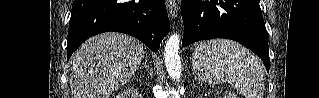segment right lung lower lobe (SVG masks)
Instances as JSON below:
<instances>
[{
  "instance_id": "1",
  "label": "right lung lower lobe",
  "mask_w": 319,
  "mask_h": 98,
  "mask_svg": "<svg viewBox=\"0 0 319 98\" xmlns=\"http://www.w3.org/2000/svg\"><path fill=\"white\" fill-rule=\"evenodd\" d=\"M169 28L164 0H74L67 57L86 39L106 31L132 35L156 52Z\"/></svg>"
}]
</instances>
